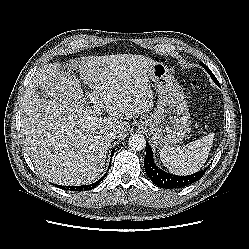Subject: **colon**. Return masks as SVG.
I'll return each instance as SVG.
<instances>
[{
  "label": "colon",
  "instance_id": "obj_1",
  "mask_svg": "<svg viewBox=\"0 0 249 249\" xmlns=\"http://www.w3.org/2000/svg\"><path fill=\"white\" fill-rule=\"evenodd\" d=\"M190 82H191V85L194 89H196L198 87V82L194 78H191Z\"/></svg>",
  "mask_w": 249,
  "mask_h": 249
}]
</instances>
